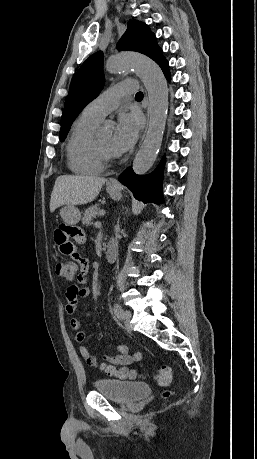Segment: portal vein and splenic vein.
<instances>
[{
  "label": "portal vein and splenic vein",
  "instance_id": "portal-vein-and-splenic-vein-1",
  "mask_svg": "<svg viewBox=\"0 0 257 459\" xmlns=\"http://www.w3.org/2000/svg\"><path fill=\"white\" fill-rule=\"evenodd\" d=\"M99 214L102 215V216H104V215H105V212H104V211H100Z\"/></svg>",
  "mask_w": 257,
  "mask_h": 459
}]
</instances>
